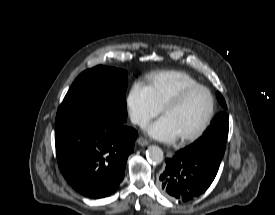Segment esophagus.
I'll return each instance as SVG.
<instances>
[{
    "label": "esophagus",
    "mask_w": 275,
    "mask_h": 215,
    "mask_svg": "<svg viewBox=\"0 0 275 215\" xmlns=\"http://www.w3.org/2000/svg\"><path fill=\"white\" fill-rule=\"evenodd\" d=\"M137 143L141 146H147L149 144V141L146 140L144 137H139L137 139Z\"/></svg>",
    "instance_id": "1"
}]
</instances>
